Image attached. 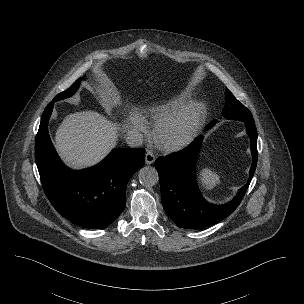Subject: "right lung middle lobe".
Wrapping results in <instances>:
<instances>
[{
	"label": "right lung middle lobe",
	"instance_id": "dd1d6c3e",
	"mask_svg": "<svg viewBox=\"0 0 304 304\" xmlns=\"http://www.w3.org/2000/svg\"><path fill=\"white\" fill-rule=\"evenodd\" d=\"M82 79L83 78L78 79L76 82H74V84L70 88H68L66 91L61 92L60 94H58L52 101L55 102L57 100L64 99V98H67L69 96H72L77 91Z\"/></svg>",
	"mask_w": 304,
	"mask_h": 304
}]
</instances>
